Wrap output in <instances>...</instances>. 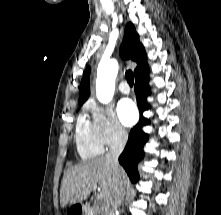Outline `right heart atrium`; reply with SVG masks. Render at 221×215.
I'll return each instance as SVG.
<instances>
[{
    "label": "right heart atrium",
    "instance_id": "d8ad5b80",
    "mask_svg": "<svg viewBox=\"0 0 221 215\" xmlns=\"http://www.w3.org/2000/svg\"><path fill=\"white\" fill-rule=\"evenodd\" d=\"M91 124L98 141L103 146H113L124 142L127 131L118 121L113 108L91 102L87 105Z\"/></svg>",
    "mask_w": 221,
    "mask_h": 215
}]
</instances>
